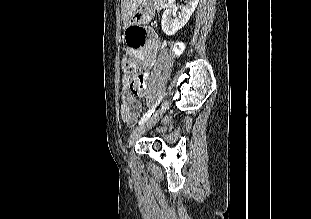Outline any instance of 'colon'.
<instances>
[{
  "mask_svg": "<svg viewBox=\"0 0 311 219\" xmlns=\"http://www.w3.org/2000/svg\"><path fill=\"white\" fill-rule=\"evenodd\" d=\"M145 30L142 27L132 26L128 35V43L138 45L144 40ZM180 45H176L175 50L180 51ZM122 70L125 74H134L140 68V63L137 59L131 56L124 57L122 59ZM146 77L143 74L137 75L130 84L132 93L141 95L145 92Z\"/></svg>",
  "mask_w": 311,
  "mask_h": 219,
  "instance_id": "1",
  "label": "colon"
}]
</instances>
